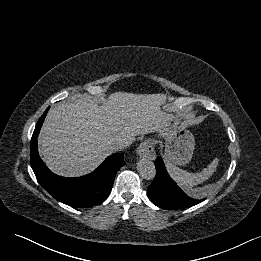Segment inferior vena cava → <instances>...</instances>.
I'll use <instances>...</instances> for the list:
<instances>
[{
  "mask_svg": "<svg viewBox=\"0 0 261 261\" xmlns=\"http://www.w3.org/2000/svg\"><path fill=\"white\" fill-rule=\"evenodd\" d=\"M130 143L127 140L118 139L113 143V148L115 150L124 149L125 147L129 146Z\"/></svg>",
  "mask_w": 261,
  "mask_h": 261,
  "instance_id": "inferior-vena-cava-1",
  "label": "inferior vena cava"
}]
</instances>
